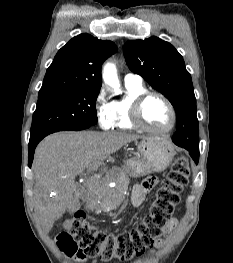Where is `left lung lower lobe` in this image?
<instances>
[{"label": "left lung lower lobe", "instance_id": "0a47b994", "mask_svg": "<svg viewBox=\"0 0 233 263\" xmlns=\"http://www.w3.org/2000/svg\"><path fill=\"white\" fill-rule=\"evenodd\" d=\"M176 145L185 148L186 150L189 151V154L191 155V157L193 158V160L195 161L196 164H198V160H199V147H197L196 145L193 144H189V143H181V142H177L175 143Z\"/></svg>", "mask_w": 233, "mask_h": 263}]
</instances>
